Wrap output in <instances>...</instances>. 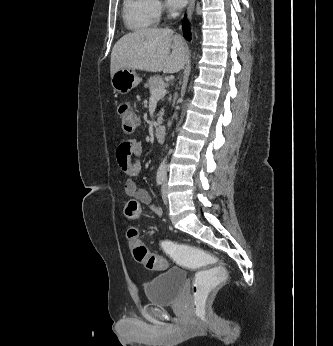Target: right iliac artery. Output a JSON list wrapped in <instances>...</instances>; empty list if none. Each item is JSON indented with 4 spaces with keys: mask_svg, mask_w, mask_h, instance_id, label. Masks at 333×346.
Listing matches in <instances>:
<instances>
[{
    "mask_svg": "<svg viewBox=\"0 0 333 346\" xmlns=\"http://www.w3.org/2000/svg\"><path fill=\"white\" fill-rule=\"evenodd\" d=\"M166 176V170L164 168H159L157 171L156 181L157 185H162Z\"/></svg>",
    "mask_w": 333,
    "mask_h": 346,
    "instance_id": "82829eb1",
    "label": "right iliac artery"
}]
</instances>
